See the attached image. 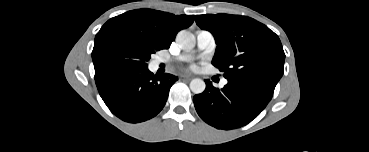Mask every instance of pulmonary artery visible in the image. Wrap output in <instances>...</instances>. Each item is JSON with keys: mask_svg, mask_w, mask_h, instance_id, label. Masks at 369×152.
Wrapping results in <instances>:
<instances>
[{"mask_svg": "<svg viewBox=\"0 0 369 152\" xmlns=\"http://www.w3.org/2000/svg\"><path fill=\"white\" fill-rule=\"evenodd\" d=\"M196 40H197V48L199 50H203L205 52H211L214 50L215 48V38L213 36V34L207 30H200L197 32V36H196ZM187 59L186 55H180L177 57V60H185ZM161 62H166V59H161ZM227 84V80L223 79L222 80V85H226Z\"/></svg>", "mask_w": 369, "mask_h": 152, "instance_id": "pulmonary-artery-1", "label": "pulmonary artery"}]
</instances>
